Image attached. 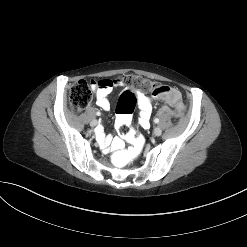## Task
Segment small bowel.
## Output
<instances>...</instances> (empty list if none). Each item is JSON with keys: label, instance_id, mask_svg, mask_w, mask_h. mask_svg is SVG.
I'll list each match as a JSON object with an SVG mask.
<instances>
[{"label": "small bowel", "instance_id": "small-bowel-1", "mask_svg": "<svg viewBox=\"0 0 247 247\" xmlns=\"http://www.w3.org/2000/svg\"><path fill=\"white\" fill-rule=\"evenodd\" d=\"M124 84L120 79L109 80L104 79L100 81H95L94 90L96 95V103L103 110H109L111 108L110 101L108 99L111 92L116 89L123 87ZM138 105L140 108V119L139 125L143 129H148L150 127V117L152 112V103L150 98L144 93H138ZM98 141L104 147L110 146L113 149L119 148L122 145L121 140L113 139L110 140L104 134H98Z\"/></svg>", "mask_w": 247, "mask_h": 247}]
</instances>
